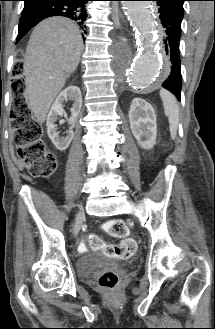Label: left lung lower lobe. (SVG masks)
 Here are the masks:
<instances>
[{"instance_id":"left-lung-lower-lobe-1","label":"left lung lower lobe","mask_w":215,"mask_h":329,"mask_svg":"<svg viewBox=\"0 0 215 329\" xmlns=\"http://www.w3.org/2000/svg\"><path fill=\"white\" fill-rule=\"evenodd\" d=\"M157 2L158 12L164 27V52L167 55V77L162 86L171 91L181 101V67L179 43L181 37V22L183 14L162 0Z\"/></svg>"}]
</instances>
